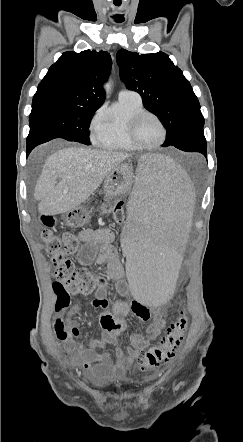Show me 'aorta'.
I'll return each instance as SVG.
<instances>
[{"mask_svg":"<svg viewBox=\"0 0 243 442\" xmlns=\"http://www.w3.org/2000/svg\"><path fill=\"white\" fill-rule=\"evenodd\" d=\"M105 88H106V89L108 90V88H109V87H108V85H106V87H105Z\"/></svg>","mask_w":243,"mask_h":442,"instance_id":"aorta-1","label":"aorta"}]
</instances>
